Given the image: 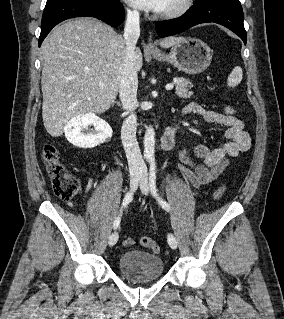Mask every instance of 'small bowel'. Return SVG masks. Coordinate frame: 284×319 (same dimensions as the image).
<instances>
[{
    "instance_id": "1",
    "label": "small bowel",
    "mask_w": 284,
    "mask_h": 319,
    "mask_svg": "<svg viewBox=\"0 0 284 319\" xmlns=\"http://www.w3.org/2000/svg\"><path fill=\"white\" fill-rule=\"evenodd\" d=\"M184 115L197 114L205 121L223 125L226 141L216 148L197 144L181 149L180 163L175 174L183 176L194 188L214 182L226 169L229 159L247 151L251 146V136L245 131L243 121L235 116L203 108L197 103L185 106Z\"/></svg>"
}]
</instances>
